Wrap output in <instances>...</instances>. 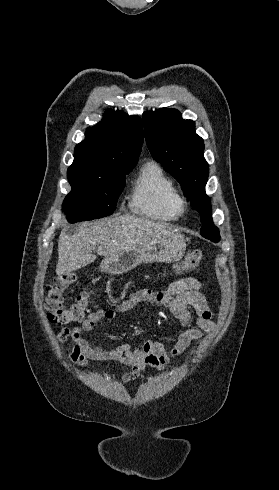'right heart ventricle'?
Returning <instances> with one entry per match:
<instances>
[{"label": "right heart ventricle", "mask_w": 279, "mask_h": 490, "mask_svg": "<svg viewBox=\"0 0 279 490\" xmlns=\"http://www.w3.org/2000/svg\"><path fill=\"white\" fill-rule=\"evenodd\" d=\"M132 210L161 222H176L185 214V201L175 179L157 161L145 162L132 188Z\"/></svg>", "instance_id": "e07e8e85"}]
</instances>
